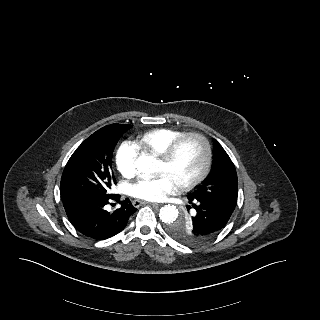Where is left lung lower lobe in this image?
<instances>
[{"label":"left lung lower lobe","mask_w":320,"mask_h":320,"mask_svg":"<svg viewBox=\"0 0 320 320\" xmlns=\"http://www.w3.org/2000/svg\"><path fill=\"white\" fill-rule=\"evenodd\" d=\"M189 202L199 214L200 227L197 236L204 242L216 236L227 224L233 212L226 210L217 202L201 197H189Z\"/></svg>","instance_id":"left-lung-lower-lobe-1"}]
</instances>
